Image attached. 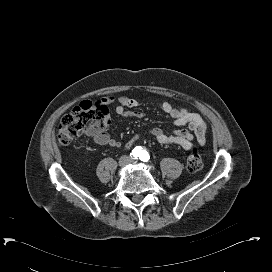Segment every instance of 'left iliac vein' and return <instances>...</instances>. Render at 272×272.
Instances as JSON below:
<instances>
[{"label": "left iliac vein", "mask_w": 272, "mask_h": 272, "mask_svg": "<svg viewBox=\"0 0 272 272\" xmlns=\"http://www.w3.org/2000/svg\"><path fill=\"white\" fill-rule=\"evenodd\" d=\"M130 163L134 164V163H136V162H135V161H133V160H131V161H130Z\"/></svg>", "instance_id": "4c4485c4"}]
</instances>
